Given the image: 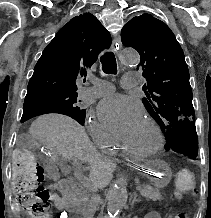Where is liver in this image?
<instances>
[{
    "instance_id": "6515ba94",
    "label": "liver",
    "mask_w": 211,
    "mask_h": 218,
    "mask_svg": "<svg viewBox=\"0 0 211 218\" xmlns=\"http://www.w3.org/2000/svg\"><path fill=\"white\" fill-rule=\"evenodd\" d=\"M29 132L35 140L46 144L52 158L64 156L68 160L89 164L90 180L108 186L116 164L104 158L93 148L84 128L60 114L39 116L32 122Z\"/></svg>"
}]
</instances>
